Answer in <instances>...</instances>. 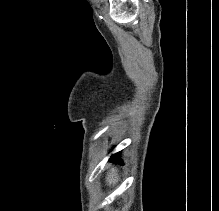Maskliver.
<instances>
[{"label":"liver","instance_id":"obj_1","mask_svg":"<svg viewBox=\"0 0 219 211\" xmlns=\"http://www.w3.org/2000/svg\"><path fill=\"white\" fill-rule=\"evenodd\" d=\"M119 179H120V175L117 169H115V167H111V171H107V175H106V181L108 185H112V183L114 185V183H117Z\"/></svg>","mask_w":219,"mask_h":211}]
</instances>
